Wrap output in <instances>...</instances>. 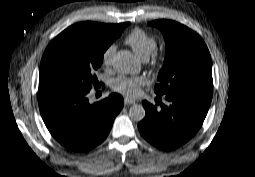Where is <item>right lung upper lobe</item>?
I'll return each instance as SVG.
<instances>
[{
	"mask_svg": "<svg viewBox=\"0 0 255 177\" xmlns=\"http://www.w3.org/2000/svg\"><path fill=\"white\" fill-rule=\"evenodd\" d=\"M73 26L85 28L91 31L101 32L103 34H113L119 29L120 24H100L87 21L75 24Z\"/></svg>",
	"mask_w": 255,
	"mask_h": 177,
	"instance_id": "cb5924a9",
	"label": "right lung upper lobe"
}]
</instances>
